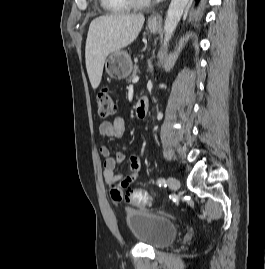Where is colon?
I'll return each instance as SVG.
<instances>
[{"label": "colon", "mask_w": 265, "mask_h": 269, "mask_svg": "<svg viewBox=\"0 0 265 269\" xmlns=\"http://www.w3.org/2000/svg\"><path fill=\"white\" fill-rule=\"evenodd\" d=\"M98 115L102 119H108L114 116L116 112V104L112 98L111 92L108 88H102L97 95ZM110 193L115 198H123V192L120 187H111ZM126 200L135 206L145 207L151 202V195L142 190L134 189L125 195Z\"/></svg>", "instance_id": "5ec220e1"}]
</instances>
